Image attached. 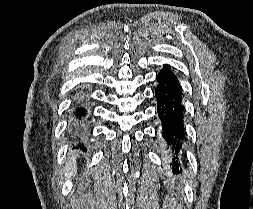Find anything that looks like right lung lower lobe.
Listing matches in <instances>:
<instances>
[{"mask_svg":"<svg viewBox=\"0 0 253 209\" xmlns=\"http://www.w3.org/2000/svg\"><path fill=\"white\" fill-rule=\"evenodd\" d=\"M86 109L83 105L78 103L75 106V109L73 111V116H74V123L76 124L77 128L81 127V124L85 121V116H86Z\"/></svg>","mask_w":253,"mask_h":209,"instance_id":"right-lung-lower-lobe-1","label":"right lung lower lobe"}]
</instances>
